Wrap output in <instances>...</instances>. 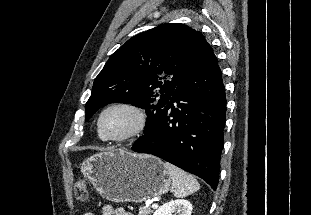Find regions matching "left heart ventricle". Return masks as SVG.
Instances as JSON below:
<instances>
[{
  "label": "left heart ventricle",
  "instance_id": "left-heart-ventricle-1",
  "mask_svg": "<svg viewBox=\"0 0 311 215\" xmlns=\"http://www.w3.org/2000/svg\"><path fill=\"white\" fill-rule=\"evenodd\" d=\"M135 114L125 108L109 110L102 119V130L107 136H119L129 132L136 124Z\"/></svg>",
  "mask_w": 311,
  "mask_h": 215
}]
</instances>
